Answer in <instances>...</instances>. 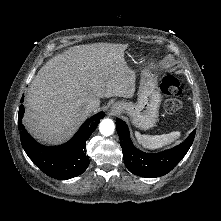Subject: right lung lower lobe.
Segmentation results:
<instances>
[{
	"label": "right lung lower lobe",
	"mask_w": 221,
	"mask_h": 221,
	"mask_svg": "<svg viewBox=\"0 0 221 221\" xmlns=\"http://www.w3.org/2000/svg\"><path fill=\"white\" fill-rule=\"evenodd\" d=\"M20 102H23V98ZM23 113L24 106L21 104L18 114L21 143L28 157L40 170L52 178L61 180L76 177L86 170L89 165L86 141L100 119L104 118V112L86 120L70 141L54 147L43 146L29 135L21 122Z\"/></svg>",
	"instance_id": "obj_1"
}]
</instances>
